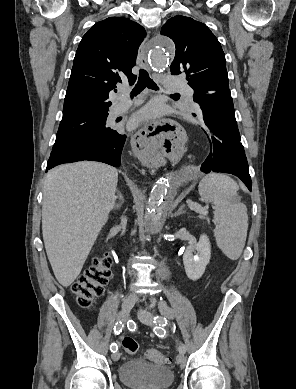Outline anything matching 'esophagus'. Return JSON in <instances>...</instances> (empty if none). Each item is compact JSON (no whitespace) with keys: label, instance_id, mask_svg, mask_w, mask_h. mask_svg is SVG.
<instances>
[{"label":"esophagus","instance_id":"34e87169","mask_svg":"<svg viewBox=\"0 0 296 389\" xmlns=\"http://www.w3.org/2000/svg\"><path fill=\"white\" fill-rule=\"evenodd\" d=\"M148 38V37H147ZM143 41L138 51V63L146 70H150L146 56V41ZM184 122L182 118L170 120L151 119L137 129V135H133L131 143L136 157L140 163H144L147 169H162L165 160L161 150H156L157 139H173L177 131H182Z\"/></svg>","mask_w":296,"mask_h":389}]
</instances>
